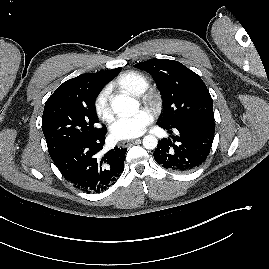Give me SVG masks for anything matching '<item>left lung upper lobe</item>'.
Returning a JSON list of instances; mask_svg holds the SVG:
<instances>
[{
  "label": "left lung upper lobe",
  "instance_id": "obj_1",
  "mask_svg": "<svg viewBox=\"0 0 269 269\" xmlns=\"http://www.w3.org/2000/svg\"><path fill=\"white\" fill-rule=\"evenodd\" d=\"M134 67L151 74L163 97L161 125L173 127L187 120L214 121L213 101L210 93L195 72L180 62L151 59Z\"/></svg>",
  "mask_w": 269,
  "mask_h": 269
}]
</instances>
